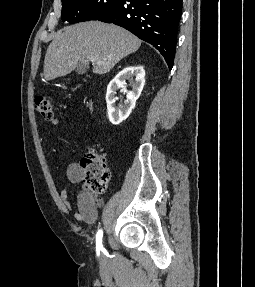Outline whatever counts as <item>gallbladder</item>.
Instances as JSON below:
<instances>
[{
	"label": "gallbladder",
	"mask_w": 255,
	"mask_h": 287,
	"mask_svg": "<svg viewBox=\"0 0 255 287\" xmlns=\"http://www.w3.org/2000/svg\"><path fill=\"white\" fill-rule=\"evenodd\" d=\"M85 70H87L86 66H83V68H77L78 74H84Z\"/></svg>",
	"instance_id": "bac80fb5"
}]
</instances>
